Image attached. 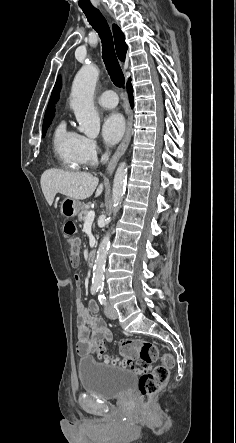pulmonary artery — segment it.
<instances>
[{"mask_svg": "<svg viewBox=\"0 0 236 443\" xmlns=\"http://www.w3.org/2000/svg\"><path fill=\"white\" fill-rule=\"evenodd\" d=\"M97 101L105 108H114L118 104L116 93L112 90H107L101 93Z\"/></svg>", "mask_w": 236, "mask_h": 443, "instance_id": "1", "label": "pulmonary artery"}]
</instances>
